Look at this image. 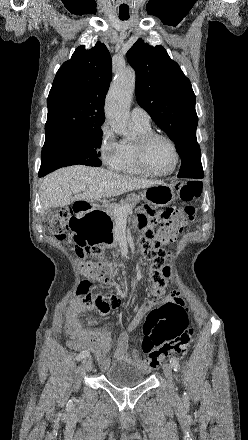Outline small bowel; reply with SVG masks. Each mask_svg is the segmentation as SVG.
<instances>
[{"label":"small bowel","instance_id":"1","mask_svg":"<svg viewBox=\"0 0 248 440\" xmlns=\"http://www.w3.org/2000/svg\"><path fill=\"white\" fill-rule=\"evenodd\" d=\"M140 222L148 225L150 219L146 213H142ZM172 260L169 257H153L148 261V269L151 271V290L152 298L147 300L139 312L132 318L126 331L122 332L114 339L112 331L108 328L90 329L83 325L80 316L91 310H97L101 315H107L110 310L116 309L120 304L121 295L112 292H103L95 289L101 294L109 293L113 298L102 296L98 306L90 309H83L78 304L72 305L66 315L65 331L69 337L68 345L74 350L91 351L97 358L101 369H107L116 362H125L135 368L149 371L151 366L148 359H141L136 351L129 352L130 333L134 331L143 318V315L163 303L169 304L171 301L183 305L181 294L174 291L163 296L165 289L169 287V282L173 279L171 270Z\"/></svg>","mask_w":248,"mask_h":440}]
</instances>
